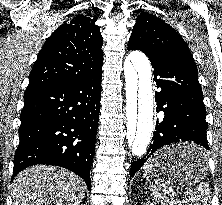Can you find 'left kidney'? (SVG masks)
I'll return each mask as SVG.
<instances>
[{
	"mask_svg": "<svg viewBox=\"0 0 222 205\" xmlns=\"http://www.w3.org/2000/svg\"><path fill=\"white\" fill-rule=\"evenodd\" d=\"M145 205H155L153 203H150L149 201Z\"/></svg>",
	"mask_w": 222,
	"mask_h": 205,
	"instance_id": "5707ae66",
	"label": "left kidney"
}]
</instances>
